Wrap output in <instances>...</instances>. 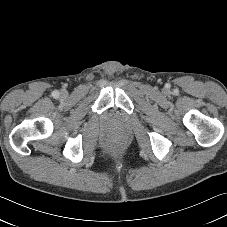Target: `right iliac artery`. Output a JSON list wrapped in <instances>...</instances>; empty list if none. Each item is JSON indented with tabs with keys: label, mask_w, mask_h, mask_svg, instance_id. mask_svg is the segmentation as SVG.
I'll return each mask as SVG.
<instances>
[{
	"label": "right iliac artery",
	"mask_w": 227,
	"mask_h": 227,
	"mask_svg": "<svg viewBox=\"0 0 227 227\" xmlns=\"http://www.w3.org/2000/svg\"><path fill=\"white\" fill-rule=\"evenodd\" d=\"M52 96L55 97V98L58 97L59 96V92L58 91H53Z\"/></svg>",
	"instance_id": "1"
}]
</instances>
